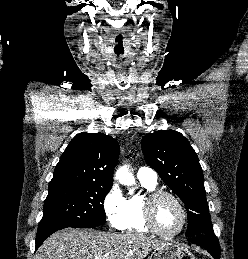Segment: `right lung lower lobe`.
Masks as SVG:
<instances>
[{"mask_svg": "<svg viewBox=\"0 0 248 259\" xmlns=\"http://www.w3.org/2000/svg\"><path fill=\"white\" fill-rule=\"evenodd\" d=\"M67 228L66 226H56L51 228H46L42 230H38L37 236H36V249L43 243V241L49 237L52 233Z\"/></svg>", "mask_w": 248, "mask_h": 259, "instance_id": "1", "label": "right lung lower lobe"}]
</instances>
